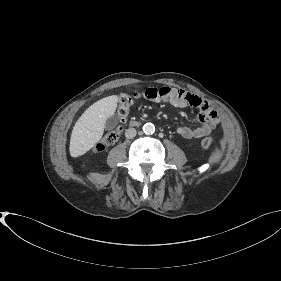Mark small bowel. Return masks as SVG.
<instances>
[{"label":"small bowel","instance_id":"obj_1","mask_svg":"<svg viewBox=\"0 0 281 281\" xmlns=\"http://www.w3.org/2000/svg\"><path fill=\"white\" fill-rule=\"evenodd\" d=\"M143 97L156 103H168L179 108L190 106L198 110V127L177 129V133L183 138H200L220 126L219 113L205 99L186 90L170 87L148 88L144 91Z\"/></svg>","mask_w":281,"mask_h":281}]
</instances>
